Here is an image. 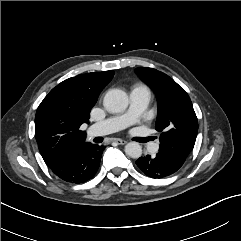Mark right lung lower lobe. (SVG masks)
Returning a JSON list of instances; mask_svg holds the SVG:
<instances>
[{"instance_id": "98d812e1", "label": "right lung lower lobe", "mask_w": 241, "mask_h": 241, "mask_svg": "<svg viewBox=\"0 0 241 241\" xmlns=\"http://www.w3.org/2000/svg\"><path fill=\"white\" fill-rule=\"evenodd\" d=\"M104 149L96 144L76 143L63 148L45 163L60 179L79 184L96 174Z\"/></svg>"}]
</instances>
